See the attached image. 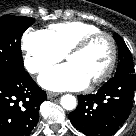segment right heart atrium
<instances>
[{
	"instance_id": "obj_1",
	"label": "right heart atrium",
	"mask_w": 136,
	"mask_h": 136,
	"mask_svg": "<svg viewBox=\"0 0 136 136\" xmlns=\"http://www.w3.org/2000/svg\"><path fill=\"white\" fill-rule=\"evenodd\" d=\"M21 45L24 66L33 74L43 72L63 57L42 30H27L22 36Z\"/></svg>"
}]
</instances>
